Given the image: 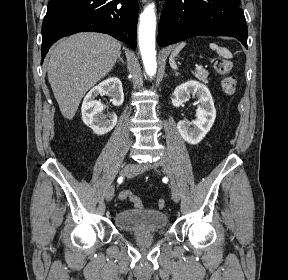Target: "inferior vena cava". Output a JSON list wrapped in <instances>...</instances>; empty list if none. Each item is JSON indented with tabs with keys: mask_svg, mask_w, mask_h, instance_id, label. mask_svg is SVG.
I'll list each match as a JSON object with an SVG mask.
<instances>
[{
	"mask_svg": "<svg viewBox=\"0 0 288 280\" xmlns=\"http://www.w3.org/2000/svg\"><path fill=\"white\" fill-rule=\"evenodd\" d=\"M158 143H163V138H158ZM161 159H170V154H167L165 150L161 151Z\"/></svg>",
	"mask_w": 288,
	"mask_h": 280,
	"instance_id": "1",
	"label": "inferior vena cava"
}]
</instances>
